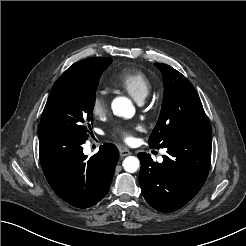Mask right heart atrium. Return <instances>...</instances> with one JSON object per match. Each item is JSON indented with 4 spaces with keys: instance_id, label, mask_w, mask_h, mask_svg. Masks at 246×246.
<instances>
[{
    "instance_id": "right-heart-atrium-1",
    "label": "right heart atrium",
    "mask_w": 246,
    "mask_h": 246,
    "mask_svg": "<svg viewBox=\"0 0 246 246\" xmlns=\"http://www.w3.org/2000/svg\"><path fill=\"white\" fill-rule=\"evenodd\" d=\"M108 109L109 102L107 97L103 93L95 94L91 106L92 115L96 118H103L106 116Z\"/></svg>"
}]
</instances>
